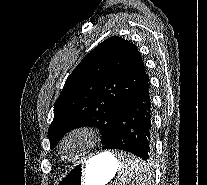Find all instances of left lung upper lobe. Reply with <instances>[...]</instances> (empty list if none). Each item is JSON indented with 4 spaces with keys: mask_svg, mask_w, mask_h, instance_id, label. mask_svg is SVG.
<instances>
[{
    "mask_svg": "<svg viewBox=\"0 0 207 185\" xmlns=\"http://www.w3.org/2000/svg\"><path fill=\"white\" fill-rule=\"evenodd\" d=\"M148 81L135 45L118 36L103 41L83 58L64 84L48 130L50 148L67 132L84 126L97 127L104 145L122 106Z\"/></svg>",
    "mask_w": 207,
    "mask_h": 185,
    "instance_id": "left-lung-upper-lobe-1",
    "label": "left lung upper lobe"
}]
</instances>
